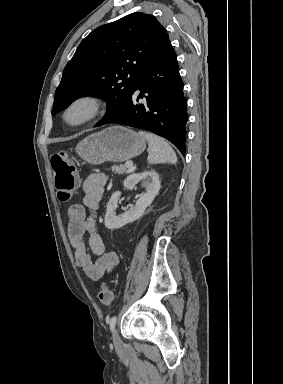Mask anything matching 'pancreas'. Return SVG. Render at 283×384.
Listing matches in <instances>:
<instances>
[{"mask_svg": "<svg viewBox=\"0 0 283 384\" xmlns=\"http://www.w3.org/2000/svg\"><path fill=\"white\" fill-rule=\"evenodd\" d=\"M112 172H115V174H124L127 170L125 166H112Z\"/></svg>", "mask_w": 283, "mask_h": 384, "instance_id": "obj_1", "label": "pancreas"}]
</instances>
